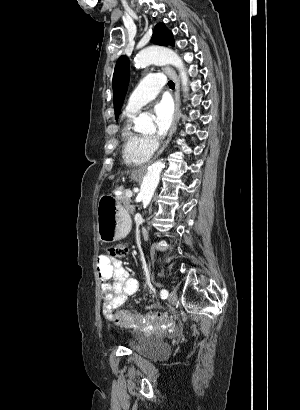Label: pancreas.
Listing matches in <instances>:
<instances>
[{"label":"pancreas","instance_id":"pancreas-1","mask_svg":"<svg viewBox=\"0 0 300 410\" xmlns=\"http://www.w3.org/2000/svg\"><path fill=\"white\" fill-rule=\"evenodd\" d=\"M118 201L124 206L126 210L131 213L135 212V207L131 205V199L126 196V191H124L121 195L117 196Z\"/></svg>","mask_w":300,"mask_h":410}]
</instances>
